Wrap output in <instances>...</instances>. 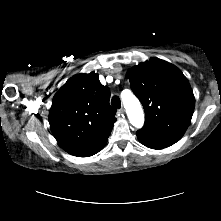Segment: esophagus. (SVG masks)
<instances>
[{
  "label": "esophagus",
  "mask_w": 221,
  "mask_h": 221,
  "mask_svg": "<svg viewBox=\"0 0 221 221\" xmlns=\"http://www.w3.org/2000/svg\"><path fill=\"white\" fill-rule=\"evenodd\" d=\"M124 112H125V110H124V108L122 107V108L119 110V113L123 115Z\"/></svg>",
  "instance_id": "esophagus-1"
}]
</instances>
